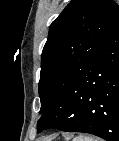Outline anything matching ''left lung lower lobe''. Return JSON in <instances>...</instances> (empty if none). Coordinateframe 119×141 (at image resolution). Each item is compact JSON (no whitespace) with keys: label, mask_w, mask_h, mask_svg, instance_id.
<instances>
[{"label":"left lung lower lobe","mask_w":119,"mask_h":141,"mask_svg":"<svg viewBox=\"0 0 119 141\" xmlns=\"http://www.w3.org/2000/svg\"><path fill=\"white\" fill-rule=\"evenodd\" d=\"M39 128L119 141V15L93 59L38 121Z\"/></svg>","instance_id":"obj_1"}]
</instances>
